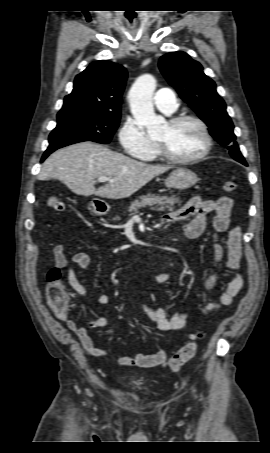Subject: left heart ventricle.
I'll return each instance as SVG.
<instances>
[{
  "label": "left heart ventricle",
  "instance_id": "b2bd125f",
  "mask_svg": "<svg viewBox=\"0 0 270 453\" xmlns=\"http://www.w3.org/2000/svg\"><path fill=\"white\" fill-rule=\"evenodd\" d=\"M156 141L164 143L171 154L182 158L197 155L205 145L200 127L190 121L174 127L166 124Z\"/></svg>",
  "mask_w": 270,
  "mask_h": 453
}]
</instances>
